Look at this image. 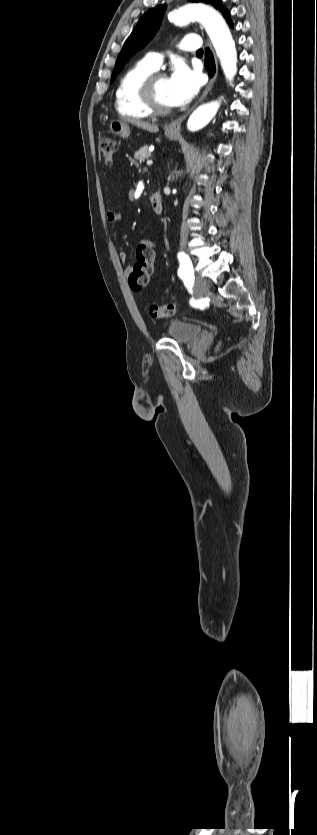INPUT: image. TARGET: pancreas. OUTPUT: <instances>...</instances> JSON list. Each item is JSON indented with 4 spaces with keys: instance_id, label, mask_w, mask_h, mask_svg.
I'll list each match as a JSON object with an SVG mask.
<instances>
[{
    "instance_id": "cf45deb5",
    "label": "pancreas",
    "mask_w": 317,
    "mask_h": 835,
    "mask_svg": "<svg viewBox=\"0 0 317 835\" xmlns=\"http://www.w3.org/2000/svg\"><path fill=\"white\" fill-rule=\"evenodd\" d=\"M151 153L149 151L148 145L141 147L138 151L134 153V158L141 162H144L146 159L150 158Z\"/></svg>"
}]
</instances>
